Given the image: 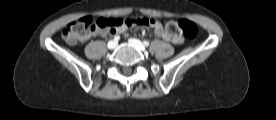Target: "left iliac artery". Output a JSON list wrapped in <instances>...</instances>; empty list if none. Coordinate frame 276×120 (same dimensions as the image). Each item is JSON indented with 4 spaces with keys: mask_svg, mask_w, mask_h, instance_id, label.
Instances as JSON below:
<instances>
[{
    "mask_svg": "<svg viewBox=\"0 0 276 120\" xmlns=\"http://www.w3.org/2000/svg\"><path fill=\"white\" fill-rule=\"evenodd\" d=\"M143 44H144L145 46H149V42H148L147 40L143 41Z\"/></svg>",
    "mask_w": 276,
    "mask_h": 120,
    "instance_id": "1",
    "label": "left iliac artery"
}]
</instances>
